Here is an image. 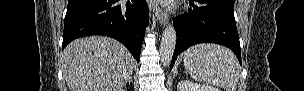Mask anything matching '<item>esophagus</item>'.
<instances>
[{"label": "esophagus", "instance_id": "obj_1", "mask_svg": "<svg viewBox=\"0 0 304 91\" xmlns=\"http://www.w3.org/2000/svg\"><path fill=\"white\" fill-rule=\"evenodd\" d=\"M150 8L154 12L159 23L165 26L168 23V14L154 3L150 5Z\"/></svg>", "mask_w": 304, "mask_h": 91}]
</instances>
